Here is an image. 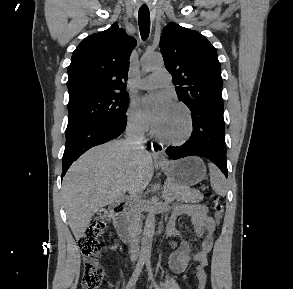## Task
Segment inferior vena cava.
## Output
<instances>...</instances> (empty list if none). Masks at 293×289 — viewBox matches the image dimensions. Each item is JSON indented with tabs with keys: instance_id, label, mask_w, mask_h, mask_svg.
Returning a JSON list of instances; mask_svg holds the SVG:
<instances>
[{
	"instance_id": "inferior-vena-cava-1",
	"label": "inferior vena cava",
	"mask_w": 293,
	"mask_h": 289,
	"mask_svg": "<svg viewBox=\"0 0 293 289\" xmlns=\"http://www.w3.org/2000/svg\"><path fill=\"white\" fill-rule=\"evenodd\" d=\"M125 141L128 145L135 147L136 149H144V128L141 123H130L125 132ZM129 202V214L131 216V231L132 239L130 241V253L132 260L137 259L139 252V234L141 231L140 226V193L136 189H132L130 192Z\"/></svg>"
}]
</instances>
